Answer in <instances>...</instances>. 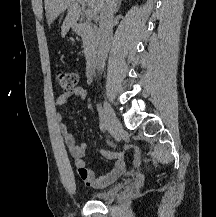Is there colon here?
<instances>
[{
	"label": "colon",
	"instance_id": "colon-1",
	"mask_svg": "<svg viewBox=\"0 0 216 217\" xmlns=\"http://www.w3.org/2000/svg\"><path fill=\"white\" fill-rule=\"evenodd\" d=\"M56 81L62 89L69 91L76 87L78 76L75 72L58 70L56 72Z\"/></svg>",
	"mask_w": 216,
	"mask_h": 217
}]
</instances>
